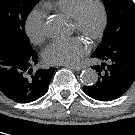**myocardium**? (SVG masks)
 Masks as SVG:
<instances>
[{
    "mask_svg": "<svg viewBox=\"0 0 135 135\" xmlns=\"http://www.w3.org/2000/svg\"><path fill=\"white\" fill-rule=\"evenodd\" d=\"M90 4H95L100 12V20L97 28L92 31L87 39L90 43L97 42L104 34L108 25V10L103 0H83L77 7L74 15L70 19L76 33L82 34L84 32V11Z\"/></svg>",
    "mask_w": 135,
    "mask_h": 135,
    "instance_id": "f54148a6",
    "label": "myocardium"
}]
</instances>
